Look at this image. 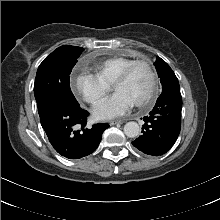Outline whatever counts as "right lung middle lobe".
I'll list each match as a JSON object with an SVG mask.
<instances>
[{
  "label": "right lung middle lobe",
  "instance_id": "right-lung-middle-lobe-1",
  "mask_svg": "<svg viewBox=\"0 0 220 220\" xmlns=\"http://www.w3.org/2000/svg\"><path fill=\"white\" fill-rule=\"evenodd\" d=\"M82 51L77 46H61L40 64L34 84L39 114L57 102L79 104L71 92L69 75Z\"/></svg>",
  "mask_w": 220,
  "mask_h": 220
}]
</instances>
